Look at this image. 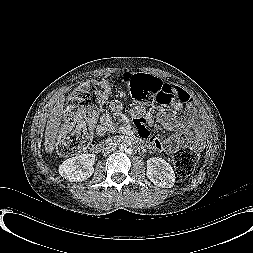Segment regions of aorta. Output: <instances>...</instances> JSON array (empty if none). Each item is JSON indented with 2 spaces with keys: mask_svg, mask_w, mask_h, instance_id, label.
Segmentation results:
<instances>
[{
  "mask_svg": "<svg viewBox=\"0 0 253 253\" xmlns=\"http://www.w3.org/2000/svg\"><path fill=\"white\" fill-rule=\"evenodd\" d=\"M118 147H119V149H120V150H122V151H123V150H125V149H126V147H127V146H126V144H125V143H123V142H122V143H120V144H119V146H118Z\"/></svg>",
  "mask_w": 253,
  "mask_h": 253,
  "instance_id": "obj_1",
  "label": "aorta"
}]
</instances>
